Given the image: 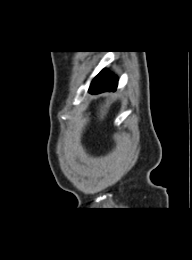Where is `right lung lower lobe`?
I'll list each match as a JSON object with an SVG mask.
<instances>
[{"instance_id":"right-lung-lower-lobe-1","label":"right lung lower lobe","mask_w":192,"mask_h":260,"mask_svg":"<svg viewBox=\"0 0 192 260\" xmlns=\"http://www.w3.org/2000/svg\"><path fill=\"white\" fill-rule=\"evenodd\" d=\"M118 79L107 70L101 71L92 81L89 92L101 93L105 91H115Z\"/></svg>"}]
</instances>
